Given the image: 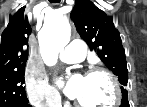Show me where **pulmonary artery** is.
Listing matches in <instances>:
<instances>
[{
  "instance_id": "obj_1",
  "label": "pulmonary artery",
  "mask_w": 147,
  "mask_h": 107,
  "mask_svg": "<svg viewBox=\"0 0 147 107\" xmlns=\"http://www.w3.org/2000/svg\"><path fill=\"white\" fill-rule=\"evenodd\" d=\"M86 52V44L81 40L75 39L61 52L60 60L65 63H78L84 60Z\"/></svg>"
}]
</instances>
